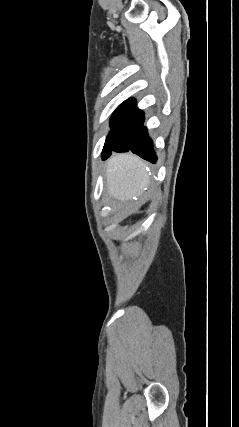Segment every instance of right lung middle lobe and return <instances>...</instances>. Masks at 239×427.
<instances>
[{
	"mask_svg": "<svg viewBox=\"0 0 239 427\" xmlns=\"http://www.w3.org/2000/svg\"><path fill=\"white\" fill-rule=\"evenodd\" d=\"M143 123V112L136 107L135 100L128 99L123 102L111 117V131L107 136L102 157L107 158L112 151L129 148Z\"/></svg>",
	"mask_w": 239,
	"mask_h": 427,
	"instance_id": "1",
	"label": "right lung middle lobe"
}]
</instances>
